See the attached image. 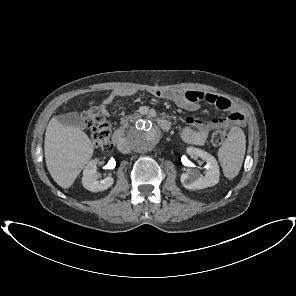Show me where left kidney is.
<instances>
[{
    "label": "left kidney",
    "mask_w": 296,
    "mask_h": 296,
    "mask_svg": "<svg viewBox=\"0 0 296 296\" xmlns=\"http://www.w3.org/2000/svg\"><path fill=\"white\" fill-rule=\"evenodd\" d=\"M187 152L191 156L200 157L206 162L205 175H201L195 171L183 173L180 177L182 185L189 190L204 189L216 185L219 182L220 170L217 160L214 156L204 150L189 147Z\"/></svg>",
    "instance_id": "obj_1"
}]
</instances>
